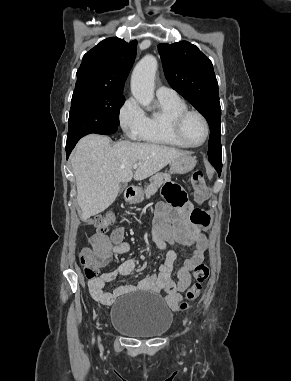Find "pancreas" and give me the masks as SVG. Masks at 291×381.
Segmentation results:
<instances>
[{
  "label": "pancreas",
  "instance_id": "obj_1",
  "mask_svg": "<svg viewBox=\"0 0 291 381\" xmlns=\"http://www.w3.org/2000/svg\"><path fill=\"white\" fill-rule=\"evenodd\" d=\"M171 179L170 174L168 173H157L150 178V184L145 189L146 198L149 199L154 195L158 188L166 181Z\"/></svg>",
  "mask_w": 291,
  "mask_h": 381
}]
</instances>
